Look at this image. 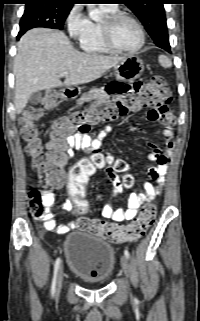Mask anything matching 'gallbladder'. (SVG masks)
<instances>
[{
	"label": "gallbladder",
	"instance_id": "obj_1",
	"mask_svg": "<svg viewBox=\"0 0 200 321\" xmlns=\"http://www.w3.org/2000/svg\"><path fill=\"white\" fill-rule=\"evenodd\" d=\"M42 99V93L41 92H35L33 93L29 98V103L32 105H37Z\"/></svg>",
	"mask_w": 200,
	"mask_h": 321
}]
</instances>
